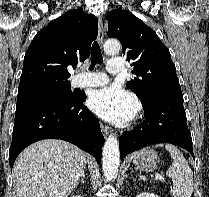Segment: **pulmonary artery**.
<instances>
[{"instance_id": "1", "label": "pulmonary artery", "mask_w": 209, "mask_h": 197, "mask_svg": "<svg viewBox=\"0 0 209 197\" xmlns=\"http://www.w3.org/2000/svg\"><path fill=\"white\" fill-rule=\"evenodd\" d=\"M107 72L110 74H118L122 70V61L120 58L111 59L107 65ZM108 82V77L102 72H88L83 77H77L75 85L77 87H97L105 85Z\"/></svg>"}]
</instances>
